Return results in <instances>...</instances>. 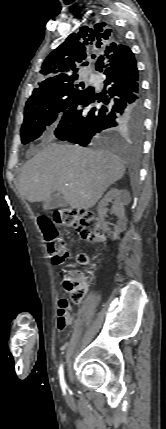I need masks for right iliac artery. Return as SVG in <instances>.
Instances as JSON below:
<instances>
[{
    "label": "right iliac artery",
    "mask_w": 166,
    "mask_h": 429,
    "mask_svg": "<svg viewBox=\"0 0 166 429\" xmlns=\"http://www.w3.org/2000/svg\"><path fill=\"white\" fill-rule=\"evenodd\" d=\"M58 373H59V378H60V385H61L62 389L64 390L66 388V383H65V380H64V370H63V365L62 364L59 367Z\"/></svg>",
    "instance_id": "1"
}]
</instances>
